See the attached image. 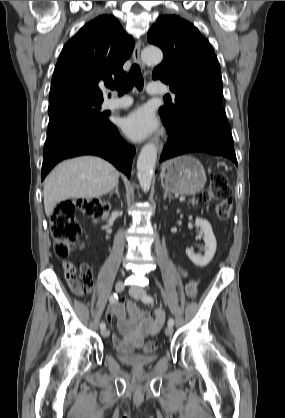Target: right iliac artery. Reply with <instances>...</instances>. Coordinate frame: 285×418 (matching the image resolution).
I'll list each match as a JSON object with an SVG mask.
<instances>
[{
  "label": "right iliac artery",
  "instance_id": "obj_1",
  "mask_svg": "<svg viewBox=\"0 0 285 418\" xmlns=\"http://www.w3.org/2000/svg\"><path fill=\"white\" fill-rule=\"evenodd\" d=\"M109 300H110V303L117 302L118 301V295L116 293H114L113 295H111ZM100 328H101V330L105 329L106 328L105 323L101 322Z\"/></svg>",
  "mask_w": 285,
  "mask_h": 418
}]
</instances>
